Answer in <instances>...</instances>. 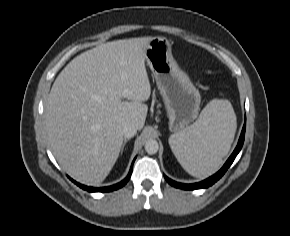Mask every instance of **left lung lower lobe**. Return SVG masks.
I'll list each match as a JSON object with an SVG mask.
<instances>
[{
	"label": "left lung lower lobe",
	"instance_id": "left-lung-lower-lobe-1",
	"mask_svg": "<svg viewBox=\"0 0 290 236\" xmlns=\"http://www.w3.org/2000/svg\"><path fill=\"white\" fill-rule=\"evenodd\" d=\"M245 128H246V123L243 126V129H242V132H241V136L239 138L238 144H237L234 152L228 158V160L226 161V163L224 164V166L216 174H214L213 176L207 178L204 181H201V182H198V183H194V184H182V183H178V182H175V181L169 179L166 176H165V179L172 186H174L176 188L185 189V190H195V189H199V188H207V187L213 185L215 182H217L225 174V172L227 171V169L231 166V164L235 160L237 154L240 152V150H241V148L243 146V143H244Z\"/></svg>",
	"mask_w": 290,
	"mask_h": 236
}]
</instances>
